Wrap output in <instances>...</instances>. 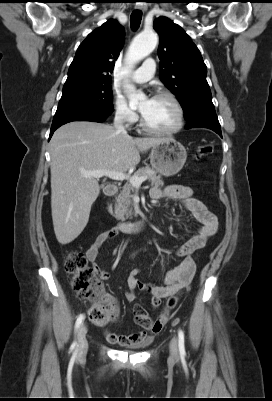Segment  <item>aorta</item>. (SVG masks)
I'll use <instances>...</instances> for the list:
<instances>
[{
	"mask_svg": "<svg viewBox=\"0 0 272 401\" xmlns=\"http://www.w3.org/2000/svg\"><path fill=\"white\" fill-rule=\"evenodd\" d=\"M157 43L158 37L154 32L141 33L136 36L127 53L128 66L124 70V75L130 72L133 64L148 56L155 49ZM124 89L128 94L130 106H135L139 101L145 99V94L141 91H136L135 87L128 80L124 82Z\"/></svg>",
	"mask_w": 272,
	"mask_h": 401,
	"instance_id": "obj_1",
	"label": "aorta"
}]
</instances>
